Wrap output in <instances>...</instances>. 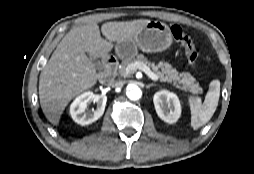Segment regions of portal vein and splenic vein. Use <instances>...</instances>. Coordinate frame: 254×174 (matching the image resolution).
I'll list each match as a JSON object with an SVG mask.
<instances>
[{
  "label": "portal vein and splenic vein",
  "mask_w": 254,
  "mask_h": 174,
  "mask_svg": "<svg viewBox=\"0 0 254 174\" xmlns=\"http://www.w3.org/2000/svg\"><path fill=\"white\" fill-rule=\"evenodd\" d=\"M137 69L143 71L153 81L159 80V77L154 74L146 64L142 62H135L127 66L126 73H134Z\"/></svg>",
  "instance_id": "portal-vein-and-splenic-vein-1"
}]
</instances>
